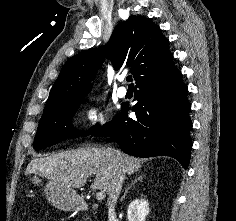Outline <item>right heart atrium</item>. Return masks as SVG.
<instances>
[{"label": "right heart atrium", "mask_w": 236, "mask_h": 221, "mask_svg": "<svg viewBox=\"0 0 236 221\" xmlns=\"http://www.w3.org/2000/svg\"><path fill=\"white\" fill-rule=\"evenodd\" d=\"M86 128L90 134H97L107 122L108 114L104 104L95 102L84 110Z\"/></svg>", "instance_id": "1"}]
</instances>
